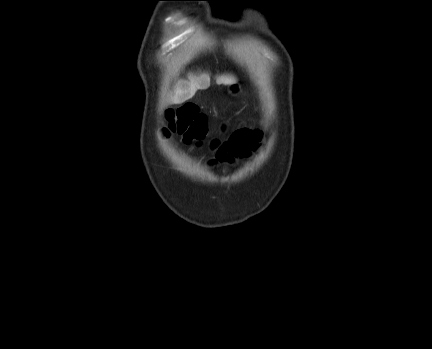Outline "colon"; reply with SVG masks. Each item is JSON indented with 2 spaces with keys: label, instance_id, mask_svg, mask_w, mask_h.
Wrapping results in <instances>:
<instances>
[{
  "label": "colon",
  "instance_id": "1",
  "mask_svg": "<svg viewBox=\"0 0 432 349\" xmlns=\"http://www.w3.org/2000/svg\"><path fill=\"white\" fill-rule=\"evenodd\" d=\"M167 119L168 131L181 135L187 144H198L207 134V118L193 104H185L176 110L168 111Z\"/></svg>",
  "mask_w": 432,
  "mask_h": 349
}]
</instances>
